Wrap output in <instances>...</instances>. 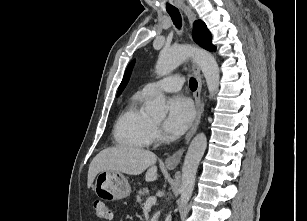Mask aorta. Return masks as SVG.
I'll return each instance as SVG.
<instances>
[{
    "label": "aorta",
    "instance_id": "aorta-1",
    "mask_svg": "<svg viewBox=\"0 0 307 221\" xmlns=\"http://www.w3.org/2000/svg\"><path fill=\"white\" fill-rule=\"evenodd\" d=\"M193 59L200 67L208 87L210 96L218 91L220 70L218 64L209 52L190 46H177L163 49L155 66L156 73L166 76L182 64L186 59ZM146 111L156 117L163 118L166 115L165 97L162 93L146 106ZM207 147V138L204 133L197 134L191 141L182 167L180 199L178 206L181 209L190 200L195 184V178L199 163Z\"/></svg>",
    "mask_w": 307,
    "mask_h": 221
}]
</instances>
